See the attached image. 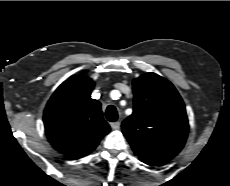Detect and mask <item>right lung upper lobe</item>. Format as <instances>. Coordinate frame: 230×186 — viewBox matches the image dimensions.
Here are the masks:
<instances>
[{
	"mask_svg": "<svg viewBox=\"0 0 230 186\" xmlns=\"http://www.w3.org/2000/svg\"><path fill=\"white\" fill-rule=\"evenodd\" d=\"M94 85L88 77L71 76L57 88L44 110L49 142L71 159L91 153L110 131L101 103L91 98Z\"/></svg>",
	"mask_w": 230,
	"mask_h": 186,
	"instance_id": "obj_1",
	"label": "right lung upper lobe"
}]
</instances>
